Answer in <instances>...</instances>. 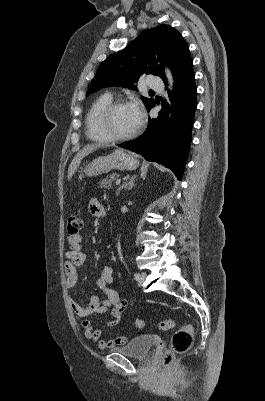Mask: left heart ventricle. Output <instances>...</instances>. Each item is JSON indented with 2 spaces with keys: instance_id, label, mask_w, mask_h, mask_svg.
<instances>
[{
  "instance_id": "1",
  "label": "left heart ventricle",
  "mask_w": 265,
  "mask_h": 401,
  "mask_svg": "<svg viewBox=\"0 0 265 401\" xmlns=\"http://www.w3.org/2000/svg\"><path fill=\"white\" fill-rule=\"evenodd\" d=\"M137 126L130 105L120 106L109 116L107 127L113 135H126L132 132Z\"/></svg>"
}]
</instances>
